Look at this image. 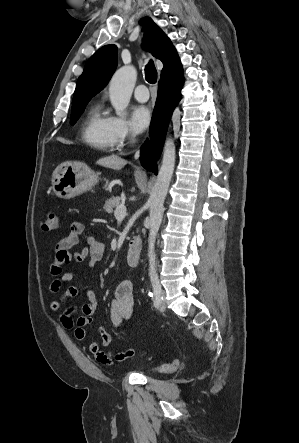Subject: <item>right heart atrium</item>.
<instances>
[{
    "mask_svg": "<svg viewBox=\"0 0 299 443\" xmlns=\"http://www.w3.org/2000/svg\"><path fill=\"white\" fill-rule=\"evenodd\" d=\"M109 134L113 147H121L135 136L129 122L119 116L109 117Z\"/></svg>",
    "mask_w": 299,
    "mask_h": 443,
    "instance_id": "1",
    "label": "right heart atrium"
}]
</instances>
